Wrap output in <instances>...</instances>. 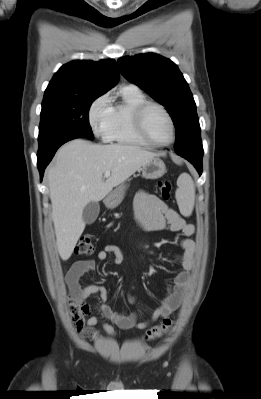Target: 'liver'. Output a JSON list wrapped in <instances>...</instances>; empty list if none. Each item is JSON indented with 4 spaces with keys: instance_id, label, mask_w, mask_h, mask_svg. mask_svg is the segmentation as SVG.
<instances>
[{
    "instance_id": "1",
    "label": "liver",
    "mask_w": 261,
    "mask_h": 399,
    "mask_svg": "<svg viewBox=\"0 0 261 399\" xmlns=\"http://www.w3.org/2000/svg\"><path fill=\"white\" fill-rule=\"evenodd\" d=\"M155 153L137 146L92 144L75 139L62 146L47 170L56 243L62 260L70 258L85 229L83 209L98 202L139 170ZM111 175L104 181L103 174Z\"/></svg>"
}]
</instances>
